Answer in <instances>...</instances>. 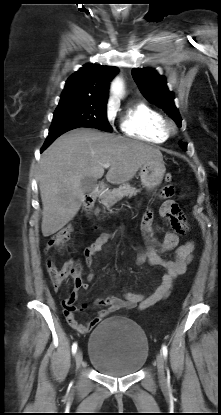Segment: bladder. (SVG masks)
Wrapping results in <instances>:
<instances>
[{
    "label": "bladder",
    "mask_w": 221,
    "mask_h": 415,
    "mask_svg": "<svg viewBox=\"0 0 221 415\" xmlns=\"http://www.w3.org/2000/svg\"><path fill=\"white\" fill-rule=\"evenodd\" d=\"M149 353L148 339L138 324L115 316L101 322L90 334L88 357L100 373L123 377L138 372Z\"/></svg>",
    "instance_id": "bladder-1"
}]
</instances>
